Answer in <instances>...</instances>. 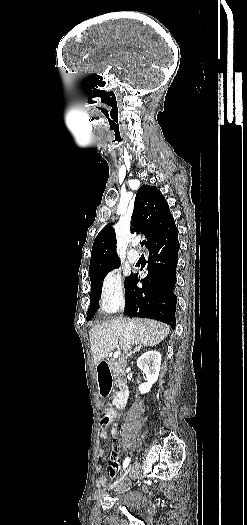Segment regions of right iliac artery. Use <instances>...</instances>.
<instances>
[{
    "label": "right iliac artery",
    "instance_id": "obj_1",
    "mask_svg": "<svg viewBox=\"0 0 247 525\" xmlns=\"http://www.w3.org/2000/svg\"><path fill=\"white\" fill-rule=\"evenodd\" d=\"M129 462H130V458L127 457V458L124 460V463H123V469H125V468L129 465Z\"/></svg>",
    "mask_w": 247,
    "mask_h": 525
}]
</instances>
